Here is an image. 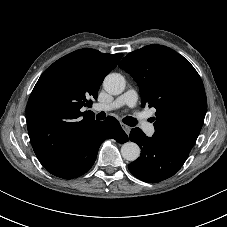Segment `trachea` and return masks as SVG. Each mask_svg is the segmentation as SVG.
<instances>
[{
    "instance_id": "trachea-1",
    "label": "trachea",
    "mask_w": 227,
    "mask_h": 227,
    "mask_svg": "<svg viewBox=\"0 0 227 227\" xmlns=\"http://www.w3.org/2000/svg\"><path fill=\"white\" fill-rule=\"evenodd\" d=\"M105 117H106V114H105V112L102 111L99 114H97L96 119L103 120ZM123 123H125L129 126H134V125H136L137 120L133 117L127 116L123 119Z\"/></svg>"
}]
</instances>
